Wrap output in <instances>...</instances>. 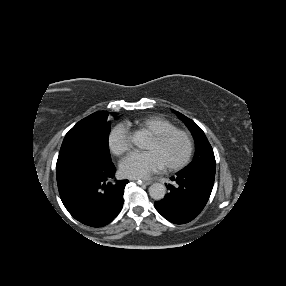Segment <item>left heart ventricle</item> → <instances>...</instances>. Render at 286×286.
Listing matches in <instances>:
<instances>
[{
  "label": "left heart ventricle",
  "mask_w": 286,
  "mask_h": 286,
  "mask_svg": "<svg viewBox=\"0 0 286 286\" xmlns=\"http://www.w3.org/2000/svg\"><path fill=\"white\" fill-rule=\"evenodd\" d=\"M188 147L187 137L179 133L163 142H156L151 137L144 149L154 152L161 165L165 167L182 160L188 151Z\"/></svg>",
  "instance_id": "obj_1"
}]
</instances>
